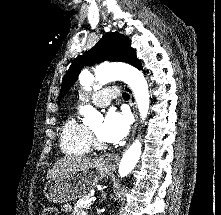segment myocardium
Here are the masks:
<instances>
[{
  "instance_id": "obj_1",
  "label": "myocardium",
  "mask_w": 221,
  "mask_h": 215,
  "mask_svg": "<svg viewBox=\"0 0 221 215\" xmlns=\"http://www.w3.org/2000/svg\"><path fill=\"white\" fill-rule=\"evenodd\" d=\"M90 137H91V144L97 148V149H104L106 146L105 144L100 140L99 136L94 133L92 130L90 131Z\"/></svg>"
}]
</instances>
